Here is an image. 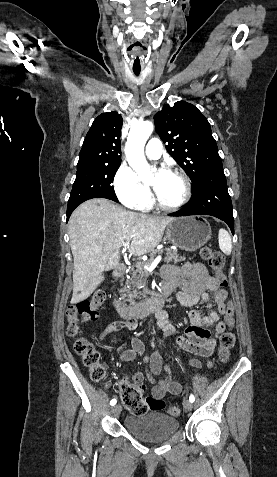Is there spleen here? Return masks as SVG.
<instances>
[{"instance_id":"obj_1","label":"spleen","mask_w":277,"mask_h":477,"mask_svg":"<svg viewBox=\"0 0 277 477\" xmlns=\"http://www.w3.org/2000/svg\"><path fill=\"white\" fill-rule=\"evenodd\" d=\"M218 239L221 251L226 255H230L232 251V241L230 234L225 229H220Z\"/></svg>"}]
</instances>
